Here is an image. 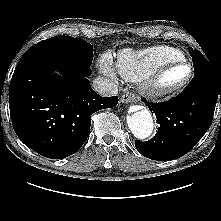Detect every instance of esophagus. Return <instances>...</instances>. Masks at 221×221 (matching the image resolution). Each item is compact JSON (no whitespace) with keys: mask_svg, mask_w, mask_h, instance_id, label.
Segmentation results:
<instances>
[{"mask_svg":"<svg viewBox=\"0 0 221 221\" xmlns=\"http://www.w3.org/2000/svg\"><path fill=\"white\" fill-rule=\"evenodd\" d=\"M135 100V95L132 93H127L122 95L121 102L122 103H131Z\"/></svg>","mask_w":221,"mask_h":221,"instance_id":"34e87169","label":"esophagus"}]
</instances>
